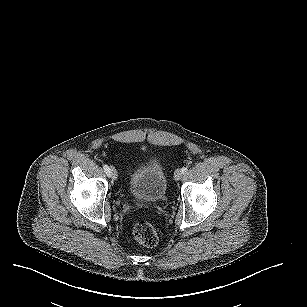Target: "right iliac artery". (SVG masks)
Masks as SVG:
<instances>
[{
    "label": "right iliac artery",
    "mask_w": 307,
    "mask_h": 307,
    "mask_svg": "<svg viewBox=\"0 0 307 307\" xmlns=\"http://www.w3.org/2000/svg\"><path fill=\"white\" fill-rule=\"evenodd\" d=\"M103 169L105 170L106 174L110 176V168L108 167V165L103 164Z\"/></svg>",
    "instance_id": "obj_1"
}]
</instances>
